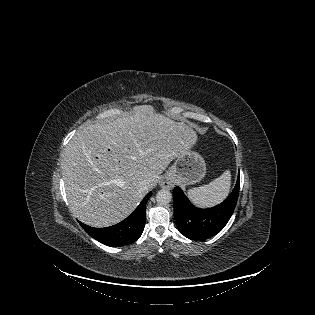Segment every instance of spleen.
I'll list each match as a JSON object with an SVG mask.
<instances>
[{
    "mask_svg": "<svg viewBox=\"0 0 315 315\" xmlns=\"http://www.w3.org/2000/svg\"><path fill=\"white\" fill-rule=\"evenodd\" d=\"M230 185L231 173L229 170H226L209 184L189 189L187 194L189 199L198 207H213L228 196Z\"/></svg>",
    "mask_w": 315,
    "mask_h": 315,
    "instance_id": "3e777b00",
    "label": "spleen"
}]
</instances>
